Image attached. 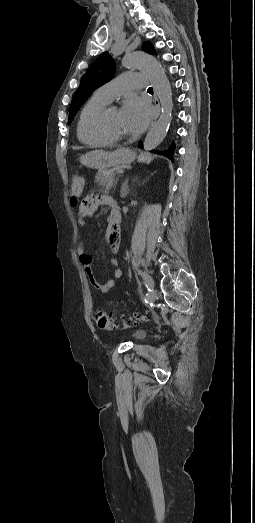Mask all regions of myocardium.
Here are the masks:
<instances>
[{"label":"myocardium","instance_id":"obj_1","mask_svg":"<svg viewBox=\"0 0 255 523\" xmlns=\"http://www.w3.org/2000/svg\"><path fill=\"white\" fill-rule=\"evenodd\" d=\"M113 109H123L121 105L107 104L96 109L87 120V129L91 135L94 137L103 139L107 142H130L134 140V137L131 138H122L116 135L111 134L104 126L103 120L107 114Z\"/></svg>","mask_w":255,"mask_h":523}]
</instances>
